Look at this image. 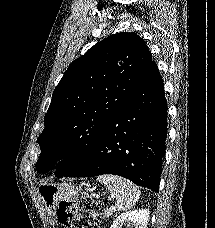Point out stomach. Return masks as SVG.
I'll use <instances>...</instances> for the list:
<instances>
[{
  "mask_svg": "<svg viewBox=\"0 0 215 228\" xmlns=\"http://www.w3.org/2000/svg\"><path fill=\"white\" fill-rule=\"evenodd\" d=\"M86 192H90L89 188ZM81 186L72 184H57V182H42L38 186V194L45 206L52 226H58L59 202H72L76 196L86 194Z\"/></svg>",
  "mask_w": 215,
  "mask_h": 228,
  "instance_id": "stomach-1",
  "label": "stomach"
}]
</instances>
